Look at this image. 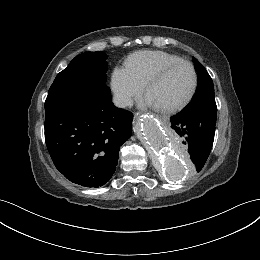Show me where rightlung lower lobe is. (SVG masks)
<instances>
[{
  "label": "right lung lower lobe",
  "mask_w": 260,
  "mask_h": 260,
  "mask_svg": "<svg viewBox=\"0 0 260 260\" xmlns=\"http://www.w3.org/2000/svg\"><path fill=\"white\" fill-rule=\"evenodd\" d=\"M45 142L56 168L71 182L100 187L116 170L133 115L112 103L106 84L82 96L45 102Z\"/></svg>",
  "instance_id": "1"
}]
</instances>
